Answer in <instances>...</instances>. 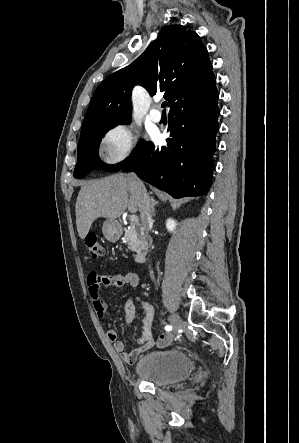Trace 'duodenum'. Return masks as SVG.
Returning <instances> with one entry per match:
<instances>
[{
    "label": "duodenum",
    "mask_w": 299,
    "mask_h": 443,
    "mask_svg": "<svg viewBox=\"0 0 299 443\" xmlns=\"http://www.w3.org/2000/svg\"><path fill=\"white\" fill-rule=\"evenodd\" d=\"M148 251H149V245L148 242L144 239L141 241V243L138 245L136 249L135 261L137 263L144 262L148 254Z\"/></svg>",
    "instance_id": "1"
}]
</instances>
